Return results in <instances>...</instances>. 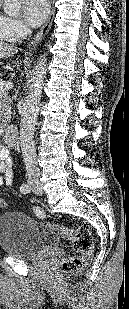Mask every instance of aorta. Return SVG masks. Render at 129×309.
Segmentation results:
<instances>
[{"label": "aorta", "instance_id": "aorta-1", "mask_svg": "<svg viewBox=\"0 0 129 309\" xmlns=\"http://www.w3.org/2000/svg\"><path fill=\"white\" fill-rule=\"evenodd\" d=\"M23 0H4V10L9 16L20 14ZM47 73V55L41 54L31 74L27 94L21 107L20 145L22 154L26 158L36 157L34 133L40 100Z\"/></svg>", "mask_w": 129, "mask_h": 309}]
</instances>
